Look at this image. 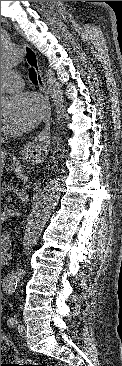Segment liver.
I'll list each match as a JSON object with an SVG mask.
<instances>
[{"mask_svg": "<svg viewBox=\"0 0 122 366\" xmlns=\"http://www.w3.org/2000/svg\"><path fill=\"white\" fill-rule=\"evenodd\" d=\"M6 157H7V152L4 149H1V176L3 175L4 168H6L7 171L14 170L15 172H17L18 175L21 176V174H22L21 167L19 166V163L16 162L14 159H13V163L10 166L5 167Z\"/></svg>", "mask_w": 122, "mask_h": 366, "instance_id": "6515ba94", "label": "liver"}]
</instances>
